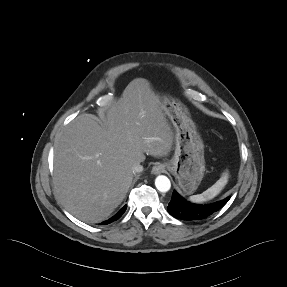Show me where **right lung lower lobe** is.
Instances as JSON below:
<instances>
[{
	"mask_svg": "<svg viewBox=\"0 0 287 287\" xmlns=\"http://www.w3.org/2000/svg\"><path fill=\"white\" fill-rule=\"evenodd\" d=\"M126 208H127V205H125L124 207H122L119 212L117 214H115L113 217H111L110 219L102 222L103 225H106V224H109V223H112L116 220H118L123 214L124 212L126 211Z\"/></svg>",
	"mask_w": 287,
	"mask_h": 287,
	"instance_id": "right-lung-lower-lobe-1",
	"label": "right lung lower lobe"
}]
</instances>
